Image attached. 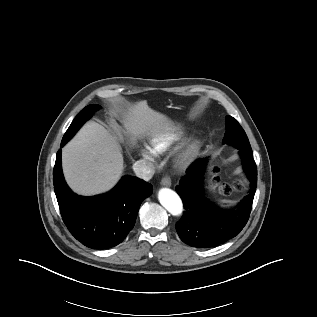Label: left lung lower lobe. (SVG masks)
<instances>
[{
    "instance_id": "1",
    "label": "left lung lower lobe",
    "mask_w": 317,
    "mask_h": 317,
    "mask_svg": "<svg viewBox=\"0 0 317 317\" xmlns=\"http://www.w3.org/2000/svg\"><path fill=\"white\" fill-rule=\"evenodd\" d=\"M239 153L250 189L234 210H222L204 198L202 174L207 159L193 163L176 187L185 209L176 230L186 244L197 248L213 247L237 236L246 225L257 187V167L251 151L240 150Z\"/></svg>"
}]
</instances>
